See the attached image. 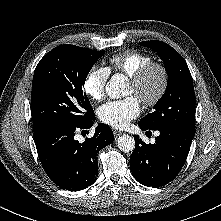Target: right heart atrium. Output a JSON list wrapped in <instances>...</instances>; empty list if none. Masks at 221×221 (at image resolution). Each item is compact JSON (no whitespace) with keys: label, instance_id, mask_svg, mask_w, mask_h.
<instances>
[{"label":"right heart atrium","instance_id":"1","mask_svg":"<svg viewBox=\"0 0 221 221\" xmlns=\"http://www.w3.org/2000/svg\"><path fill=\"white\" fill-rule=\"evenodd\" d=\"M109 74L107 67L94 65L89 69L83 82V90L91 100L100 101L104 98Z\"/></svg>","mask_w":221,"mask_h":221}]
</instances>
